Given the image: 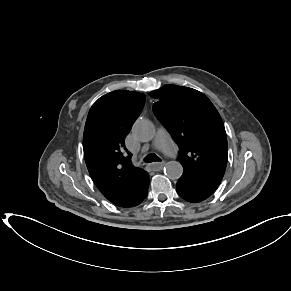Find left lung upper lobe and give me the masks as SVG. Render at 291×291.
Masks as SVG:
<instances>
[{
    "mask_svg": "<svg viewBox=\"0 0 291 291\" xmlns=\"http://www.w3.org/2000/svg\"><path fill=\"white\" fill-rule=\"evenodd\" d=\"M150 95L158 99L155 116L179 146L181 179L214 193L227 164V136L217 109L204 94L188 87L167 84Z\"/></svg>",
    "mask_w": 291,
    "mask_h": 291,
    "instance_id": "obj_1",
    "label": "left lung upper lobe"
}]
</instances>
